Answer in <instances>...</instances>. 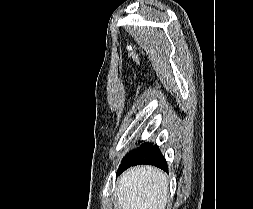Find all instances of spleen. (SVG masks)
<instances>
[{"mask_svg":"<svg viewBox=\"0 0 253 209\" xmlns=\"http://www.w3.org/2000/svg\"><path fill=\"white\" fill-rule=\"evenodd\" d=\"M168 182L164 172L154 167L130 169L117 187L118 209H165Z\"/></svg>","mask_w":253,"mask_h":209,"instance_id":"spleen-1","label":"spleen"}]
</instances>
